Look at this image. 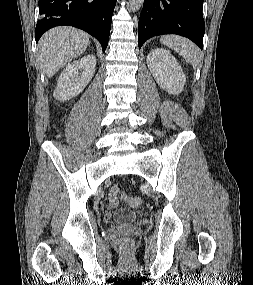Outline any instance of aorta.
<instances>
[{
  "label": "aorta",
  "mask_w": 253,
  "mask_h": 285,
  "mask_svg": "<svg viewBox=\"0 0 253 285\" xmlns=\"http://www.w3.org/2000/svg\"><path fill=\"white\" fill-rule=\"evenodd\" d=\"M144 0H129V9L131 11H137L143 5Z\"/></svg>",
  "instance_id": "obj_1"
}]
</instances>
